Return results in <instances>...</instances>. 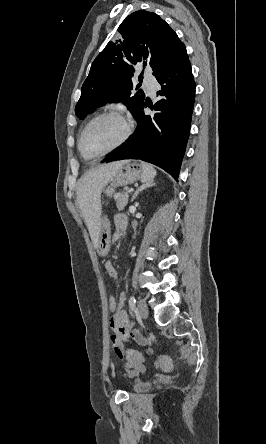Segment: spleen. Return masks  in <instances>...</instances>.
<instances>
[{"mask_svg": "<svg viewBox=\"0 0 266 444\" xmlns=\"http://www.w3.org/2000/svg\"><path fill=\"white\" fill-rule=\"evenodd\" d=\"M141 167L144 171V176L142 177L143 182H147L153 179V177L156 175V170L153 168L151 164L142 162Z\"/></svg>", "mask_w": 266, "mask_h": 444, "instance_id": "3e777b00", "label": "spleen"}]
</instances>
